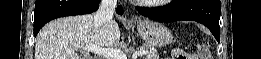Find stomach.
<instances>
[{
	"label": "stomach",
	"instance_id": "0dacf381",
	"mask_svg": "<svg viewBox=\"0 0 261 59\" xmlns=\"http://www.w3.org/2000/svg\"><path fill=\"white\" fill-rule=\"evenodd\" d=\"M137 28L142 40L151 47H163L172 42L171 32L159 22L141 20Z\"/></svg>",
	"mask_w": 261,
	"mask_h": 59
}]
</instances>
